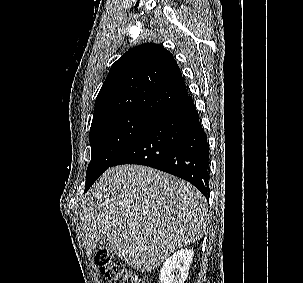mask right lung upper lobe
I'll list each match as a JSON object with an SVG mask.
<instances>
[{
  "label": "right lung upper lobe",
  "mask_w": 303,
  "mask_h": 283,
  "mask_svg": "<svg viewBox=\"0 0 303 283\" xmlns=\"http://www.w3.org/2000/svg\"><path fill=\"white\" fill-rule=\"evenodd\" d=\"M186 96L173 55L158 44H142L111 66L95 101L92 124L128 112L157 115Z\"/></svg>",
  "instance_id": "right-lung-upper-lobe-1"
}]
</instances>
